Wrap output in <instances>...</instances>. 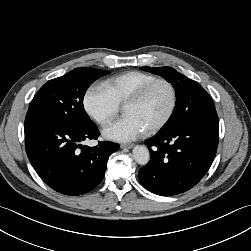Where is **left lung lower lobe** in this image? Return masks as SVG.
<instances>
[{
    "instance_id": "1",
    "label": "left lung lower lobe",
    "mask_w": 251,
    "mask_h": 251,
    "mask_svg": "<svg viewBox=\"0 0 251 251\" xmlns=\"http://www.w3.org/2000/svg\"><path fill=\"white\" fill-rule=\"evenodd\" d=\"M184 113L179 125L145 141L151 160L139 170V180L154 194L171 196L191 189L215 158L219 124L210 96L200 95Z\"/></svg>"
}]
</instances>
